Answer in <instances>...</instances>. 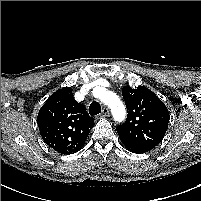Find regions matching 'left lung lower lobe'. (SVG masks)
I'll list each match as a JSON object with an SVG mask.
<instances>
[{
    "instance_id": "0a47b994",
    "label": "left lung lower lobe",
    "mask_w": 201,
    "mask_h": 201,
    "mask_svg": "<svg viewBox=\"0 0 201 201\" xmlns=\"http://www.w3.org/2000/svg\"><path fill=\"white\" fill-rule=\"evenodd\" d=\"M123 144H124V146H125L129 151H131V152H133V153H145V152H148V151H144V150H142V149H140V148H136V147L127 145V144H125V143H123Z\"/></svg>"
}]
</instances>
